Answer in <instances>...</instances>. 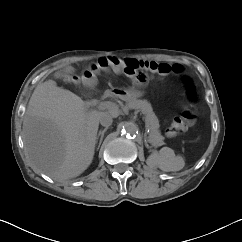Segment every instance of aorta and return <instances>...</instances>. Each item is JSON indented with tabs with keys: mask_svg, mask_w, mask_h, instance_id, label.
<instances>
[{
	"mask_svg": "<svg viewBox=\"0 0 242 242\" xmlns=\"http://www.w3.org/2000/svg\"><path fill=\"white\" fill-rule=\"evenodd\" d=\"M123 131L129 135H135L138 133V127L132 122H126L123 126Z\"/></svg>",
	"mask_w": 242,
	"mask_h": 242,
	"instance_id": "obj_1",
	"label": "aorta"
}]
</instances>
